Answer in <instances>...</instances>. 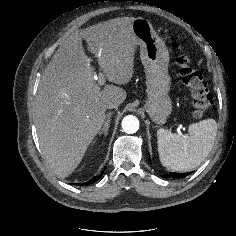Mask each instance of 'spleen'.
Masks as SVG:
<instances>
[{
  "mask_svg": "<svg viewBox=\"0 0 236 236\" xmlns=\"http://www.w3.org/2000/svg\"><path fill=\"white\" fill-rule=\"evenodd\" d=\"M189 135L167 129L157 130L159 158L163 166L174 171H188L200 165L210 153L217 133V122L204 119L188 127Z\"/></svg>",
  "mask_w": 236,
  "mask_h": 236,
  "instance_id": "obj_1",
  "label": "spleen"
}]
</instances>
